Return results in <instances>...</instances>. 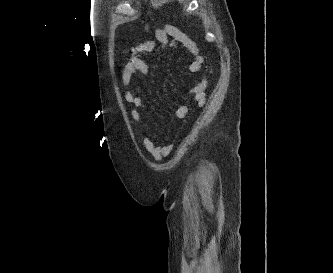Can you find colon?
<instances>
[{"label":"colon","mask_w":333,"mask_h":273,"mask_svg":"<svg viewBox=\"0 0 333 273\" xmlns=\"http://www.w3.org/2000/svg\"><path fill=\"white\" fill-rule=\"evenodd\" d=\"M138 45L139 44H134L130 49H129V58L136 56L138 54Z\"/></svg>","instance_id":"5ec220e1"}]
</instances>
